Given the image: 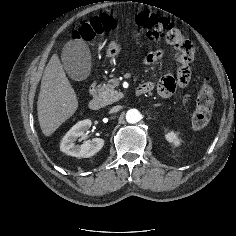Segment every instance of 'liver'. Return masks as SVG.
Returning <instances> with one entry per match:
<instances>
[{
  "label": "liver",
  "instance_id": "6515ba94",
  "mask_svg": "<svg viewBox=\"0 0 236 236\" xmlns=\"http://www.w3.org/2000/svg\"><path fill=\"white\" fill-rule=\"evenodd\" d=\"M77 108L76 93L55 53L45 67L37 101L38 120L43 134L51 136Z\"/></svg>",
  "mask_w": 236,
  "mask_h": 236
}]
</instances>
